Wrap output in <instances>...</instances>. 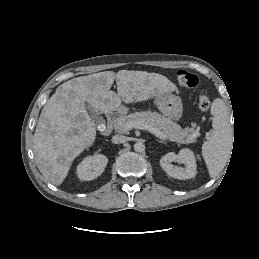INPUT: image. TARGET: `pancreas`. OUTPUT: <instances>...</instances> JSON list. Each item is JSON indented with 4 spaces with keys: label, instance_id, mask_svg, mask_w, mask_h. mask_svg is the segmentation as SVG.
Returning <instances> with one entry per match:
<instances>
[{
    "label": "pancreas",
    "instance_id": "1",
    "mask_svg": "<svg viewBox=\"0 0 259 259\" xmlns=\"http://www.w3.org/2000/svg\"><path fill=\"white\" fill-rule=\"evenodd\" d=\"M137 121H142L145 124L160 129V131L166 136V139L177 143H193L196 141L197 137L201 135L199 127H187L182 129L180 125L173 122L170 118L151 111H141L121 116L116 120L113 126L118 133L128 134L129 130L126 127V124Z\"/></svg>",
    "mask_w": 259,
    "mask_h": 259
}]
</instances>
